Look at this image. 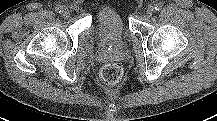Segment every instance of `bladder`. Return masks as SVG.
Wrapping results in <instances>:
<instances>
[{
    "label": "bladder",
    "instance_id": "bladder-1",
    "mask_svg": "<svg viewBox=\"0 0 217 121\" xmlns=\"http://www.w3.org/2000/svg\"><path fill=\"white\" fill-rule=\"evenodd\" d=\"M95 30L106 50H119L124 46L127 28L116 9L106 7L99 10L95 18Z\"/></svg>",
    "mask_w": 217,
    "mask_h": 121
}]
</instances>
